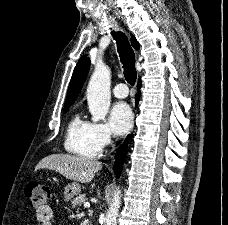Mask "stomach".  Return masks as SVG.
Listing matches in <instances>:
<instances>
[{
  "label": "stomach",
  "instance_id": "0dacf381",
  "mask_svg": "<svg viewBox=\"0 0 228 225\" xmlns=\"http://www.w3.org/2000/svg\"><path fill=\"white\" fill-rule=\"evenodd\" d=\"M80 191L81 187L78 183H70V185H67L64 189V201H71L73 197L79 195Z\"/></svg>",
  "mask_w": 228,
  "mask_h": 225
}]
</instances>
